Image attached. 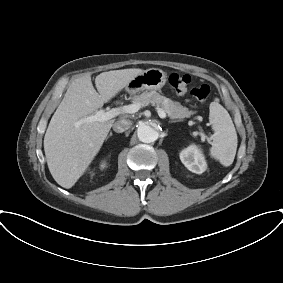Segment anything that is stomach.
<instances>
[{"label": "stomach", "mask_w": 283, "mask_h": 283, "mask_svg": "<svg viewBox=\"0 0 283 283\" xmlns=\"http://www.w3.org/2000/svg\"><path fill=\"white\" fill-rule=\"evenodd\" d=\"M166 78L167 74L163 70L150 68L136 76L126 88L131 93L143 90L156 91L165 85Z\"/></svg>", "instance_id": "0dacf381"}]
</instances>
